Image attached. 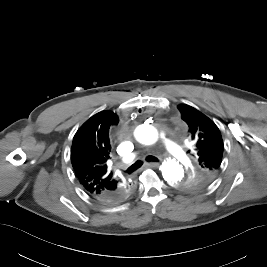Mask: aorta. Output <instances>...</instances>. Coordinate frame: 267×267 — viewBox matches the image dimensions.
Instances as JSON below:
<instances>
[{
  "label": "aorta",
  "instance_id": "762f6f07",
  "mask_svg": "<svg viewBox=\"0 0 267 267\" xmlns=\"http://www.w3.org/2000/svg\"><path fill=\"white\" fill-rule=\"evenodd\" d=\"M138 142L145 145H152L158 139V131L149 124L139 125L134 132ZM162 176L168 184L178 186L184 177V169L179 161L175 159H167L160 167Z\"/></svg>",
  "mask_w": 267,
  "mask_h": 267
}]
</instances>
